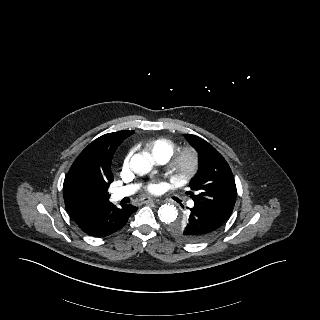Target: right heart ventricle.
<instances>
[{"instance_id":"1","label":"right heart ventricle","mask_w":320,"mask_h":320,"mask_svg":"<svg viewBox=\"0 0 320 320\" xmlns=\"http://www.w3.org/2000/svg\"><path fill=\"white\" fill-rule=\"evenodd\" d=\"M144 148L155 160L161 158L169 159L175 150V143L172 139L157 137L146 141Z\"/></svg>"}]
</instances>
